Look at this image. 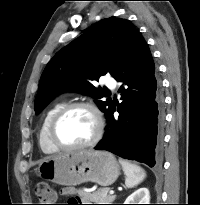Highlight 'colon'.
<instances>
[{
  "mask_svg": "<svg viewBox=\"0 0 200 205\" xmlns=\"http://www.w3.org/2000/svg\"><path fill=\"white\" fill-rule=\"evenodd\" d=\"M35 194L40 203L38 205H55L57 194L48 183H37L35 186Z\"/></svg>",
  "mask_w": 200,
  "mask_h": 205,
  "instance_id": "obj_1",
  "label": "colon"
}]
</instances>
